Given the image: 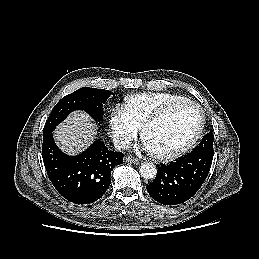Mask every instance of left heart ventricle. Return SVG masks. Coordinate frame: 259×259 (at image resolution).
Instances as JSON below:
<instances>
[{
    "mask_svg": "<svg viewBox=\"0 0 259 259\" xmlns=\"http://www.w3.org/2000/svg\"><path fill=\"white\" fill-rule=\"evenodd\" d=\"M199 121L200 114L194 106L181 105L151 125L144 134V141L151 152L171 151L193 135Z\"/></svg>",
    "mask_w": 259,
    "mask_h": 259,
    "instance_id": "left-heart-ventricle-1",
    "label": "left heart ventricle"
}]
</instances>
